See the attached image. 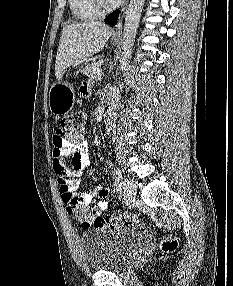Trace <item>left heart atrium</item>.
I'll return each instance as SVG.
<instances>
[{"label":"left heart atrium","instance_id":"1","mask_svg":"<svg viewBox=\"0 0 233 286\" xmlns=\"http://www.w3.org/2000/svg\"><path fill=\"white\" fill-rule=\"evenodd\" d=\"M122 0H114L115 3H120Z\"/></svg>","mask_w":233,"mask_h":286}]
</instances>
